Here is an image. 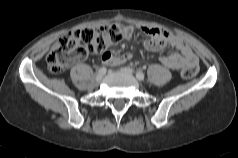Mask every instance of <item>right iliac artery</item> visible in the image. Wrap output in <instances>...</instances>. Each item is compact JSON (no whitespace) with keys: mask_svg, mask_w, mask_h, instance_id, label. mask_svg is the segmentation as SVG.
<instances>
[{"mask_svg":"<svg viewBox=\"0 0 238 158\" xmlns=\"http://www.w3.org/2000/svg\"><path fill=\"white\" fill-rule=\"evenodd\" d=\"M97 73L98 74H105L106 73V68L105 67H101L100 69H98Z\"/></svg>","mask_w":238,"mask_h":158,"instance_id":"1","label":"right iliac artery"}]
</instances>
